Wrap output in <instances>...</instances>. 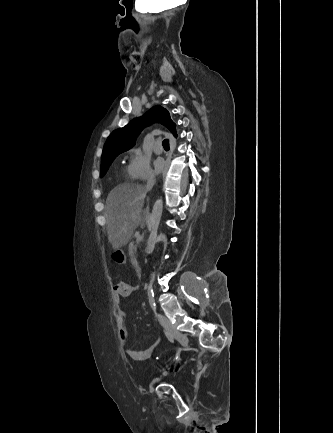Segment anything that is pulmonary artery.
I'll return each mask as SVG.
<instances>
[{"label": "pulmonary artery", "instance_id": "obj_1", "mask_svg": "<svg viewBox=\"0 0 333 433\" xmlns=\"http://www.w3.org/2000/svg\"><path fill=\"white\" fill-rule=\"evenodd\" d=\"M154 152L156 154H162L163 153V147H162L160 142L156 143V145L154 147Z\"/></svg>", "mask_w": 333, "mask_h": 433}]
</instances>
